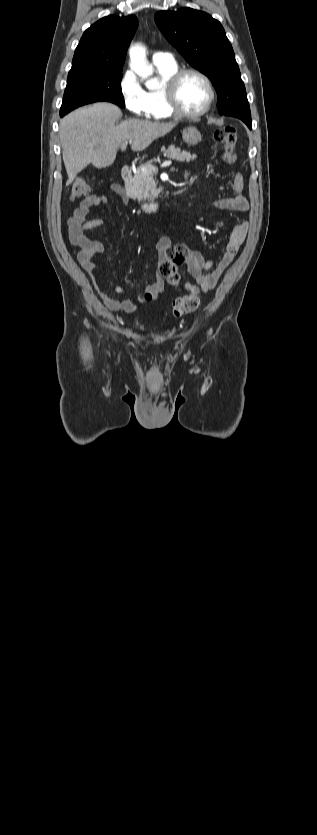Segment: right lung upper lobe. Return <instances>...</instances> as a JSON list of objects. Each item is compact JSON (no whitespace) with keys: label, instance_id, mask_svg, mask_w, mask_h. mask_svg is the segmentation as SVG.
Returning <instances> with one entry per match:
<instances>
[{"label":"right lung upper lobe","instance_id":"1","mask_svg":"<svg viewBox=\"0 0 317 835\" xmlns=\"http://www.w3.org/2000/svg\"><path fill=\"white\" fill-rule=\"evenodd\" d=\"M138 26L136 17L106 16L88 28L74 53L72 68L121 69L127 48Z\"/></svg>","mask_w":317,"mask_h":835}]
</instances>
